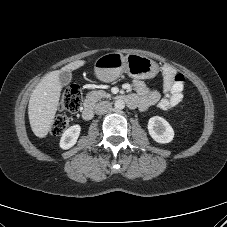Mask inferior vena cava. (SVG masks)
<instances>
[{
  "instance_id": "inferior-vena-cava-1",
  "label": "inferior vena cava",
  "mask_w": 227,
  "mask_h": 227,
  "mask_svg": "<svg viewBox=\"0 0 227 227\" xmlns=\"http://www.w3.org/2000/svg\"><path fill=\"white\" fill-rule=\"evenodd\" d=\"M95 113L98 115L106 114L107 112L111 111L112 104L108 101H101L95 105Z\"/></svg>"
}]
</instances>
